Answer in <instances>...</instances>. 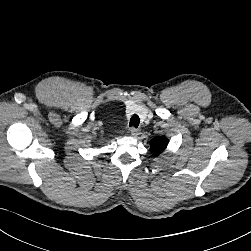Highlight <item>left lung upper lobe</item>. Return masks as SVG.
<instances>
[{
  "label": "left lung upper lobe",
  "mask_w": 251,
  "mask_h": 251,
  "mask_svg": "<svg viewBox=\"0 0 251 251\" xmlns=\"http://www.w3.org/2000/svg\"><path fill=\"white\" fill-rule=\"evenodd\" d=\"M169 143V140L164 137V136H159V137H156L154 140H152L150 142V145H151V153L154 155V156H158L159 154H161L165 148L167 147Z\"/></svg>",
  "instance_id": "1"
}]
</instances>
